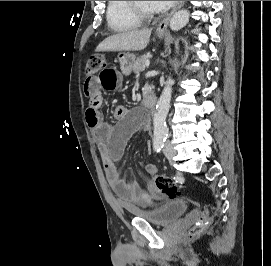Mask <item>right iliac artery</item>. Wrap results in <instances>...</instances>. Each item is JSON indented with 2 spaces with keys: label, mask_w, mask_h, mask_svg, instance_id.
<instances>
[{
  "label": "right iliac artery",
  "mask_w": 271,
  "mask_h": 266,
  "mask_svg": "<svg viewBox=\"0 0 271 266\" xmlns=\"http://www.w3.org/2000/svg\"><path fill=\"white\" fill-rule=\"evenodd\" d=\"M163 147V143L162 141H157V142H154L153 144V148L156 152H160V150L162 149Z\"/></svg>",
  "instance_id": "82829eb1"
}]
</instances>
